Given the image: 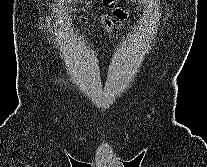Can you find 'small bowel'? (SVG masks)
Listing matches in <instances>:
<instances>
[{
	"mask_svg": "<svg viewBox=\"0 0 207 167\" xmlns=\"http://www.w3.org/2000/svg\"><path fill=\"white\" fill-rule=\"evenodd\" d=\"M109 9L112 10L113 14L120 19H125L127 14L123 12L117 6V0H101ZM91 0H86L84 6H88ZM98 20L103 25L104 29L109 35H112L116 29L123 27V23L118 21L113 15L105 13L102 14Z\"/></svg>",
	"mask_w": 207,
	"mask_h": 167,
	"instance_id": "1",
	"label": "small bowel"
}]
</instances>
